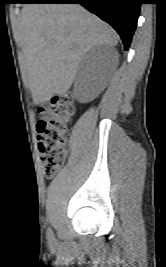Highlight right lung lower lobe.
<instances>
[{
    "label": "right lung lower lobe",
    "mask_w": 166,
    "mask_h": 267,
    "mask_svg": "<svg viewBox=\"0 0 166 267\" xmlns=\"http://www.w3.org/2000/svg\"><path fill=\"white\" fill-rule=\"evenodd\" d=\"M20 3H79L109 23L130 46L142 0H20Z\"/></svg>",
    "instance_id": "98d812e1"
}]
</instances>
